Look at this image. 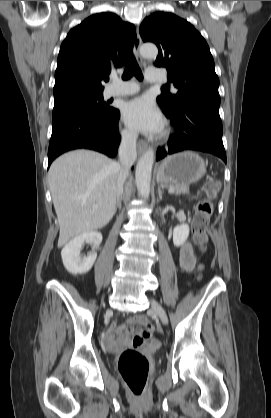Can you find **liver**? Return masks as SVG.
Listing matches in <instances>:
<instances>
[{"label": "liver", "instance_id": "6515ba94", "mask_svg": "<svg viewBox=\"0 0 271 418\" xmlns=\"http://www.w3.org/2000/svg\"><path fill=\"white\" fill-rule=\"evenodd\" d=\"M118 172L117 162L90 150L68 152L52 163L48 180L60 227L58 247L109 223Z\"/></svg>", "mask_w": 271, "mask_h": 418}]
</instances>
